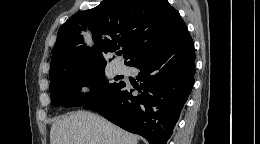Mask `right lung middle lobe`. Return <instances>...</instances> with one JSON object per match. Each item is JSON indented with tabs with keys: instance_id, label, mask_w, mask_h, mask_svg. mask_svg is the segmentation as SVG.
<instances>
[{
	"instance_id": "1",
	"label": "right lung middle lobe",
	"mask_w": 260,
	"mask_h": 144,
	"mask_svg": "<svg viewBox=\"0 0 260 144\" xmlns=\"http://www.w3.org/2000/svg\"><path fill=\"white\" fill-rule=\"evenodd\" d=\"M104 74L105 66H95L63 71L50 76L51 103L56 107L82 106L108 95L121 82L112 83ZM82 86L95 87V90L84 95L80 92Z\"/></svg>"
}]
</instances>
